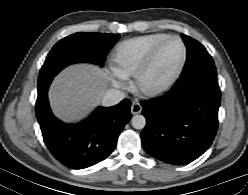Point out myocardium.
<instances>
[{"label":"myocardium","mask_w":248,"mask_h":195,"mask_svg":"<svg viewBox=\"0 0 248 195\" xmlns=\"http://www.w3.org/2000/svg\"><path fill=\"white\" fill-rule=\"evenodd\" d=\"M171 40H178L183 48L182 58L177 69L168 79H166L161 84L154 86L148 85L147 78L154 69L159 54L161 53L165 45ZM186 60H187V46L185 42L179 36L176 35L168 36L154 48V50L151 52L150 56L148 57L145 65L135 74L134 86L140 93L146 96L158 95L168 90L177 81V79L180 77L184 69Z\"/></svg>","instance_id":"obj_1"}]
</instances>
